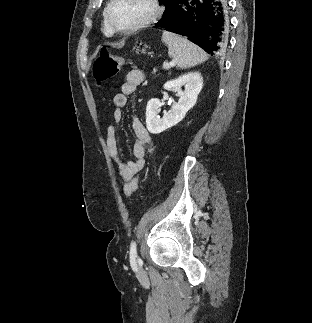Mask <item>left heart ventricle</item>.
Returning a JSON list of instances; mask_svg holds the SVG:
<instances>
[{"mask_svg":"<svg viewBox=\"0 0 312 323\" xmlns=\"http://www.w3.org/2000/svg\"><path fill=\"white\" fill-rule=\"evenodd\" d=\"M151 7L146 0H118L111 7V18H147Z\"/></svg>","mask_w":312,"mask_h":323,"instance_id":"1","label":"left heart ventricle"}]
</instances>
